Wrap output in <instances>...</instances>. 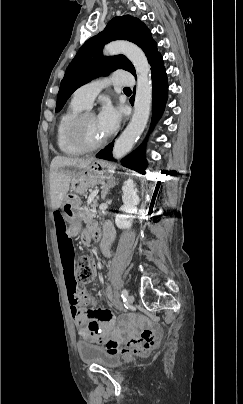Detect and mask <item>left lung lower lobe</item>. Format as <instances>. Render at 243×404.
<instances>
[{"label": "left lung lower lobe", "instance_id": "left-lung-lower-lobe-1", "mask_svg": "<svg viewBox=\"0 0 243 404\" xmlns=\"http://www.w3.org/2000/svg\"><path fill=\"white\" fill-rule=\"evenodd\" d=\"M151 72H152V97H153V115H152V126L161 117L165 104L167 101L168 94V83L167 75L163 65V59L161 55H158L151 62ZM112 148L113 143L102 149L97 155V158L113 160L112 158ZM123 166L136 170L140 173H144L145 169V159H144V146L142 145L133 153L121 160Z\"/></svg>", "mask_w": 243, "mask_h": 404}]
</instances>
